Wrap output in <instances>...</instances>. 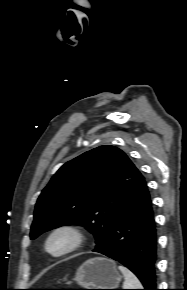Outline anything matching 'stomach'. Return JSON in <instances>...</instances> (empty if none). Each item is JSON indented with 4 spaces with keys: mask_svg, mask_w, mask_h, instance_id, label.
I'll return each instance as SVG.
<instances>
[{
    "mask_svg": "<svg viewBox=\"0 0 187 290\" xmlns=\"http://www.w3.org/2000/svg\"><path fill=\"white\" fill-rule=\"evenodd\" d=\"M121 278L114 261L95 257L77 269L74 281L83 289H117Z\"/></svg>",
    "mask_w": 187,
    "mask_h": 290,
    "instance_id": "stomach-1",
    "label": "stomach"
}]
</instances>
